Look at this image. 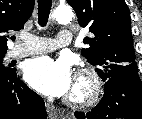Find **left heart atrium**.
Here are the masks:
<instances>
[{"instance_id": "obj_1", "label": "left heart atrium", "mask_w": 142, "mask_h": 119, "mask_svg": "<svg viewBox=\"0 0 142 119\" xmlns=\"http://www.w3.org/2000/svg\"><path fill=\"white\" fill-rule=\"evenodd\" d=\"M24 78L35 90L50 96L69 94L74 83L66 61L46 56L30 60L25 66Z\"/></svg>"}]
</instances>
